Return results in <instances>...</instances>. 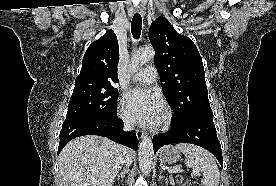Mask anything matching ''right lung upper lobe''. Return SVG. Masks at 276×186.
<instances>
[{
	"instance_id": "1",
	"label": "right lung upper lobe",
	"mask_w": 276,
	"mask_h": 186,
	"mask_svg": "<svg viewBox=\"0 0 276 186\" xmlns=\"http://www.w3.org/2000/svg\"><path fill=\"white\" fill-rule=\"evenodd\" d=\"M118 60L119 46L117 37L113 30H107L85 52L80 74L75 80V88L112 86V83L118 81Z\"/></svg>"
}]
</instances>
